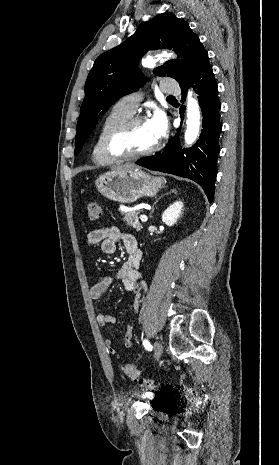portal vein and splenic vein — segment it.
I'll return each instance as SVG.
<instances>
[{
	"instance_id": "1",
	"label": "portal vein and splenic vein",
	"mask_w": 279,
	"mask_h": 465,
	"mask_svg": "<svg viewBox=\"0 0 279 465\" xmlns=\"http://www.w3.org/2000/svg\"><path fill=\"white\" fill-rule=\"evenodd\" d=\"M140 219H141V221H143V222H147V220H148V218H147V216H146L145 214H141V215H140Z\"/></svg>"
}]
</instances>
